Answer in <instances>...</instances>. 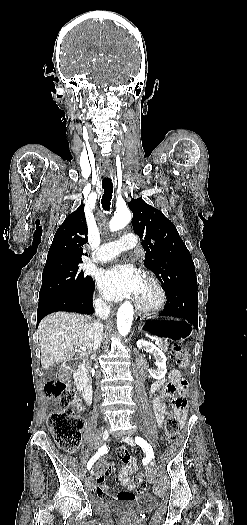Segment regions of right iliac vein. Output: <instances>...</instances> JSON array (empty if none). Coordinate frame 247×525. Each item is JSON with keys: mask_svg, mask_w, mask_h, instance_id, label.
I'll return each instance as SVG.
<instances>
[{"mask_svg": "<svg viewBox=\"0 0 247 525\" xmlns=\"http://www.w3.org/2000/svg\"><path fill=\"white\" fill-rule=\"evenodd\" d=\"M109 438V431L106 429L103 433L102 440L106 441ZM95 474L94 467L91 469V475L93 476Z\"/></svg>", "mask_w": 247, "mask_h": 525, "instance_id": "63e3f726", "label": "right iliac vein"}]
</instances>
